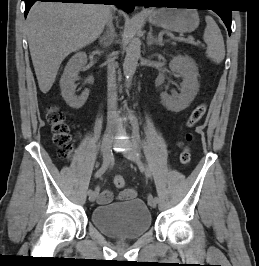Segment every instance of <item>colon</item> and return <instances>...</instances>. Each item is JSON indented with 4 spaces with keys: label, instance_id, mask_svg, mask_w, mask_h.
Instances as JSON below:
<instances>
[{
    "label": "colon",
    "instance_id": "obj_1",
    "mask_svg": "<svg viewBox=\"0 0 259 266\" xmlns=\"http://www.w3.org/2000/svg\"><path fill=\"white\" fill-rule=\"evenodd\" d=\"M206 111L207 105L205 102L198 104L187 120V127L192 128L195 126L204 117ZM46 120L50 125L53 142L59 148L60 156L64 159L69 158L73 152V142L71 127L64 112L56 106H50L46 112ZM186 140L188 142L192 140L191 133L186 134ZM191 158V149L188 146L184 147L179 155L181 163L188 164L191 161ZM125 184V179L122 176L119 175L114 178V185L117 188L122 189L125 187Z\"/></svg>",
    "mask_w": 259,
    "mask_h": 266
}]
</instances>
